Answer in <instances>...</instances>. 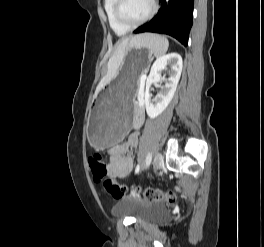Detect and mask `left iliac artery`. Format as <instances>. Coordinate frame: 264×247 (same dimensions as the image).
<instances>
[{
	"label": "left iliac artery",
	"instance_id": "44dca946",
	"mask_svg": "<svg viewBox=\"0 0 264 247\" xmlns=\"http://www.w3.org/2000/svg\"><path fill=\"white\" fill-rule=\"evenodd\" d=\"M151 160H152V154H151V153H148V155H147V157H146V168L150 165ZM139 169H140V166L137 165V167H136V172H138Z\"/></svg>",
	"mask_w": 264,
	"mask_h": 247
}]
</instances>
